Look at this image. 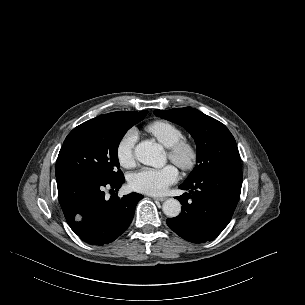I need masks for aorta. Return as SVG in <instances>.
I'll use <instances>...</instances> for the list:
<instances>
[{
	"label": "aorta",
	"mask_w": 305,
	"mask_h": 305,
	"mask_svg": "<svg viewBox=\"0 0 305 305\" xmlns=\"http://www.w3.org/2000/svg\"><path fill=\"white\" fill-rule=\"evenodd\" d=\"M136 159L144 164L153 167H162L166 162V156L162 147L151 141H142L135 147ZM162 210L168 217H176L181 212V203L170 198L163 203Z\"/></svg>",
	"instance_id": "762f6f07"
}]
</instances>
